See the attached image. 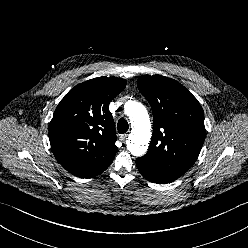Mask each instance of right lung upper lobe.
Returning a JSON list of instances; mask_svg holds the SVG:
<instances>
[{
	"label": "right lung upper lobe",
	"instance_id": "right-lung-upper-lobe-1",
	"mask_svg": "<svg viewBox=\"0 0 248 248\" xmlns=\"http://www.w3.org/2000/svg\"><path fill=\"white\" fill-rule=\"evenodd\" d=\"M126 80L99 77L78 84L56 107L49 140L57 161L81 178H93L112 163L118 148L109 103Z\"/></svg>",
	"mask_w": 248,
	"mask_h": 248
}]
</instances>
